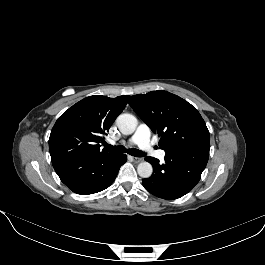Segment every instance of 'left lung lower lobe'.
<instances>
[{"mask_svg": "<svg viewBox=\"0 0 265 265\" xmlns=\"http://www.w3.org/2000/svg\"><path fill=\"white\" fill-rule=\"evenodd\" d=\"M210 145H199L173 153H166L165 162L146 157L152 164L153 174L143 179L144 188L151 194L167 199H177L193 189L199 182L209 158Z\"/></svg>", "mask_w": 265, "mask_h": 265, "instance_id": "1", "label": "left lung lower lobe"}]
</instances>
